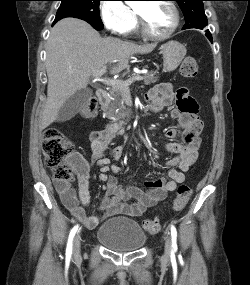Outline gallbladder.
Instances as JSON below:
<instances>
[{
	"label": "gallbladder",
	"instance_id": "obj_1",
	"mask_svg": "<svg viewBox=\"0 0 250 285\" xmlns=\"http://www.w3.org/2000/svg\"><path fill=\"white\" fill-rule=\"evenodd\" d=\"M93 91L89 88L81 89L72 95L59 110L57 121H66L73 118L89 101Z\"/></svg>",
	"mask_w": 250,
	"mask_h": 285
}]
</instances>
